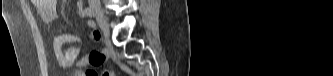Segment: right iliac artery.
Wrapping results in <instances>:
<instances>
[{
	"instance_id": "obj_1",
	"label": "right iliac artery",
	"mask_w": 333,
	"mask_h": 76,
	"mask_svg": "<svg viewBox=\"0 0 333 76\" xmlns=\"http://www.w3.org/2000/svg\"><path fill=\"white\" fill-rule=\"evenodd\" d=\"M85 13H86V15L89 16L90 18H92V17L94 16L93 10H92L91 8H89V7H87V8L85 9ZM90 21H92V20H90ZM92 22L94 23V21H92Z\"/></svg>"
}]
</instances>
